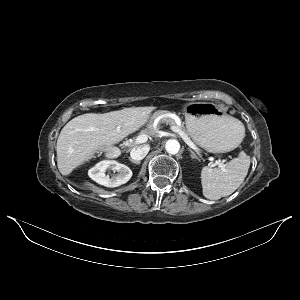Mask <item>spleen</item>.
<instances>
[{"label": "spleen", "instance_id": "obj_1", "mask_svg": "<svg viewBox=\"0 0 300 300\" xmlns=\"http://www.w3.org/2000/svg\"><path fill=\"white\" fill-rule=\"evenodd\" d=\"M236 125L244 134L243 124L234 118ZM250 166V157L241 152L223 168L205 166L201 171L203 195L211 200L231 195L244 181Z\"/></svg>", "mask_w": 300, "mask_h": 300}]
</instances>
